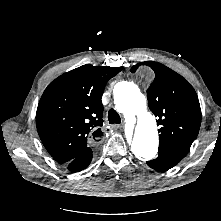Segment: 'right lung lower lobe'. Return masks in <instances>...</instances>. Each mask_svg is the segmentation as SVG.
Instances as JSON below:
<instances>
[{"mask_svg":"<svg viewBox=\"0 0 221 221\" xmlns=\"http://www.w3.org/2000/svg\"><path fill=\"white\" fill-rule=\"evenodd\" d=\"M92 160V150L91 148L82 152L79 156H77L72 161L68 162L66 165L68 166V170L71 172H79L88 167Z\"/></svg>","mask_w":221,"mask_h":221,"instance_id":"1","label":"right lung lower lobe"}]
</instances>
